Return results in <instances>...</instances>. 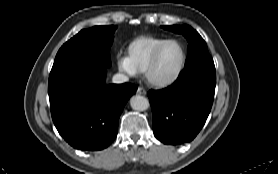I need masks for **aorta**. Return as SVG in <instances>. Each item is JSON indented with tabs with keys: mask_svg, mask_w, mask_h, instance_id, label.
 <instances>
[{
	"mask_svg": "<svg viewBox=\"0 0 278 174\" xmlns=\"http://www.w3.org/2000/svg\"><path fill=\"white\" fill-rule=\"evenodd\" d=\"M130 106L137 111H145L149 108V101L141 95H134L130 99Z\"/></svg>",
	"mask_w": 278,
	"mask_h": 174,
	"instance_id": "1",
	"label": "aorta"
}]
</instances>
